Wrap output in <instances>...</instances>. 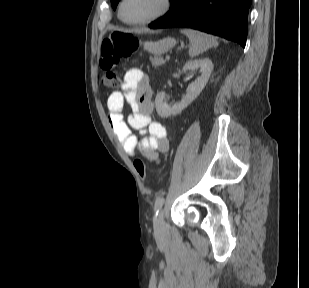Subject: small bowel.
<instances>
[{"label": "small bowel", "instance_id": "obj_1", "mask_svg": "<svg viewBox=\"0 0 309 288\" xmlns=\"http://www.w3.org/2000/svg\"><path fill=\"white\" fill-rule=\"evenodd\" d=\"M125 104L132 111L127 121L123 114ZM107 108L111 129L129 156L141 153L156 161L159 154L169 151L166 128L151 119L154 110L152 90L142 71L137 68L126 71L121 89L110 94ZM132 129L139 132L140 138L132 133Z\"/></svg>", "mask_w": 309, "mask_h": 288}]
</instances>
